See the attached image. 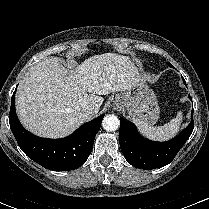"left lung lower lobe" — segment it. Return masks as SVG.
Masks as SVG:
<instances>
[{
    "mask_svg": "<svg viewBox=\"0 0 209 209\" xmlns=\"http://www.w3.org/2000/svg\"><path fill=\"white\" fill-rule=\"evenodd\" d=\"M183 82L186 83L184 78ZM189 98L191 99L190 96ZM191 116L192 119L188 127L177 137L167 142H154L143 138L132 123L120 118V148L125 159L132 166L140 169L160 168L169 164L189 139L194 129L193 110Z\"/></svg>",
    "mask_w": 209,
    "mask_h": 209,
    "instance_id": "left-lung-lower-lobe-1",
    "label": "left lung lower lobe"
}]
</instances>
